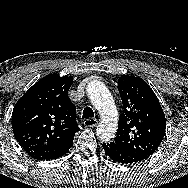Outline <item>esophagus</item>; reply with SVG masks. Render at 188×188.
<instances>
[{
  "label": "esophagus",
  "mask_w": 188,
  "mask_h": 188,
  "mask_svg": "<svg viewBox=\"0 0 188 188\" xmlns=\"http://www.w3.org/2000/svg\"><path fill=\"white\" fill-rule=\"evenodd\" d=\"M85 127H95L98 124L97 119H85L83 121Z\"/></svg>",
  "instance_id": "esophagus-1"
}]
</instances>
